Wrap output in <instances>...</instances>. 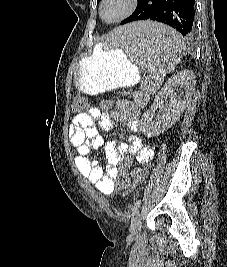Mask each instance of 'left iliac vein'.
I'll use <instances>...</instances> for the list:
<instances>
[{
  "mask_svg": "<svg viewBox=\"0 0 227 267\" xmlns=\"http://www.w3.org/2000/svg\"><path fill=\"white\" fill-rule=\"evenodd\" d=\"M141 219H142V214L139 210L134 213L131 225H130V234L132 237H138L140 234V229H141Z\"/></svg>",
  "mask_w": 227,
  "mask_h": 267,
  "instance_id": "1",
  "label": "left iliac vein"
}]
</instances>
